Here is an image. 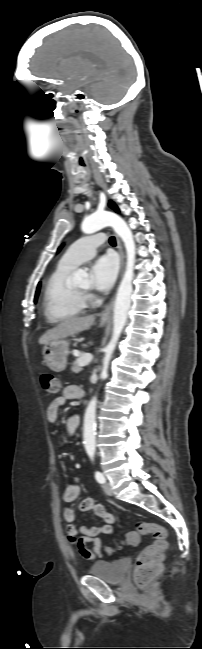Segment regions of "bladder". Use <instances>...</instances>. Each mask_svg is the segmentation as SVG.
I'll return each mask as SVG.
<instances>
[{"instance_id": "31cf9c89", "label": "bladder", "mask_w": 202, "mask_h": 649, "mask_svg": "<svg viewBox=\"0 0 202 649\" xmlns=\"http://www.w3.org/2000/svg\"><path fill=\"white\" fill-rule=\"evenodd\" d=\"M129 568L130 561L120 558L114 561H97L89 568L88 573L107 583L118 584L125 579Z\"/></svg>"}]
</instances>
